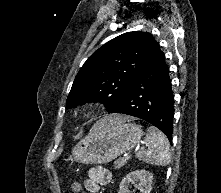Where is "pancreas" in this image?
Instances as JSON below:
<instances>
[{"label": "pancreas", "mask_w": 221, "mask_h": 193, "mask_svg": "<svg viewBox=\"0 0 221 193\" xmlns=\"http://www.w3.org/2000/svg\"><path fill=\"white\" fill-rule=\"evenodd\" d=\"M126 163V160L123 159H118L114 162V168L115 169H120L121 167H123Z\"/></svg>", "instance_id": "pancreas-1"}]
</instances>
